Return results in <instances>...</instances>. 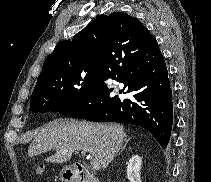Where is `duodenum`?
<instances>
[{"instance_id": "410a0bca", "label": "duodenum", "mask_w": 211, "mask_h": 182, "mask_svg": "<svg viewBox=\"0 0 211 182\" xmlns=\"http://www.w3.org/2000/svg\"><path fill=\"white\" fill-rule=\"evenodd\" d=\"M73 178L75 182H100L94 173L81 166L73 168Z\"/></svg>"}]
</instances>
